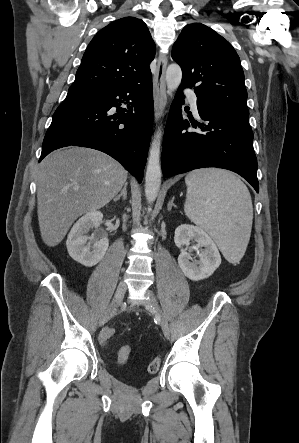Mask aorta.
Instances as JSON below:
<instances>
[{
	"label": "aorta",
	"instance_id": "1",
	"mask_svg": "<svg viewBox=\"0 0 299 443\" xmlns=\"http://www.w3.org/2000/svg\"><path fill=\"white\" fill-rule=\"evenodd\" d=\"M182 71L179 65L171 64L166 71L167 93L171 95L180 85ZM162 127L154 133L149 149V157L145 176V196L149 205L157 198L161 186L160 150ZM151 208L148 207V212Z\"/></svg>",
	"mask_w": 299,
	"mask_h": 443
}]
</instances>
